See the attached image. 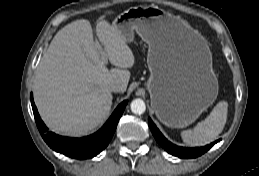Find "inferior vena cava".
Instances as JSON below:
<instances>
[{
    "label": "inferior vena cava",
    "instance_id": "1",
    "mask_svg": "<svg viewBox=\"0 0 259 176\" xmlns=\"http://www.w3.org/2000/svg\"><path fill=\"white\" fill-rule=\"evenodd\" d=\"M109 90L112 91V92H120L121 86L118 83H112L109 86Z\"/></svg>",
    "mask_w": 259,
    "mask_h": 176
}]
</instances>
